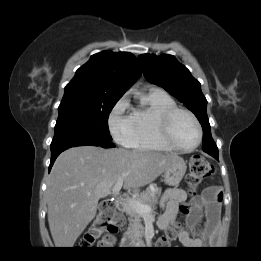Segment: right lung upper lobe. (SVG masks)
<instances>
[{
	"mask_svg": "<svg viewBox=\"0 0 261 261\" xmlns=\"http://www.w3.org/2000/svg\"><path fill=\"white\" fill-rule=\"evenodd\" d=\"M139 74L140 66L133 54L102 51L76 71L64 96H122Z\"/></svg>",
	"mask_w": 261,
	"mask_h": 261,
	"instance_id": "1",
	"label": "right lung upper lobe"
}]
</instances>
